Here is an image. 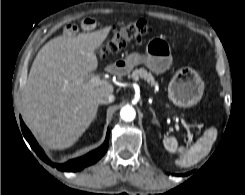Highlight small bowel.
Listing matches in <instances>:
<instances>
[{"label":"small bowel","instance_id":"c3829d8e","mask_svg":"<svg viewBox=\"0 0 245 195\" xmlns=\"http://www.w3.org/2000/svg\"><path fill=\"white\" fill-rule=\"evenodd\" d=\"M96 26V21L93 18L87 17L82 20L81 27L84 30H92ZM78 28L74 24H68L64 28V33L68 36L76 34Z\"/></svg>","mask_w":245,"mask_h":195}]
</instances>
